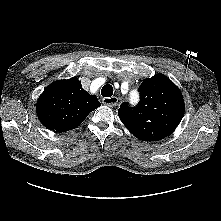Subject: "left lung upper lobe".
<instances>
[{"mask_svg": "<svg viewBox=\"0 0 221 221\" xmlns=\"http://www.w3.org/2000/svg\"><path fill=\"white\" fill-rule=\"evenodd\" d=\"M140 102L130 107L123 102L118 115L139 140L157 141L170 135L183 118L185 105L178 87L166 76L157 74L139 87Z\"/></svg>", "mask_w": 221, "mask_h": 221, "instance_id": "1", "label": "left lung upper lobe"}]
</instances>
